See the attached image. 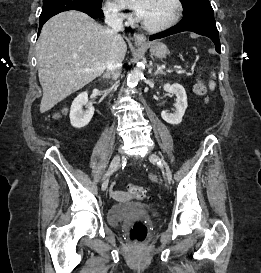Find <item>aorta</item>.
Returning <instances> with one entry per match:
<instances>
[{"instance_id":"1","label":"aorta","mask_w":261,"mask_h":273,"mask_svg":"<svg viewBox=\"0 0 261 273\" xmlns=\"http://www.w3.org/2000/svg\"><path fill=\"white\" fill-rule=\"evenodd\" d=\"M143 75V67L142 64L139 63L136 67H134L128 75L127 84L130 87L136 86Z\"/></svg>"}]
</instances>
